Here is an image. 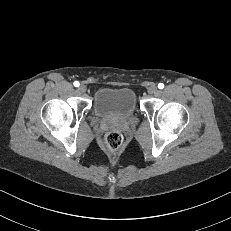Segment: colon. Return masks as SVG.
Returning a JSON list of instances; mask_svg holds the SVG:
<instances>
[{"mask_svg":"<svg viewBox=\"0 0 231 231\" xmlns=\"http://www.w3.org/2000/svg\"><path fill=\"white\" fill-rule=\"evenodd\" d=\"M123 143V136L118 131H110L106 134L104 139V145L109 151L118 150Z\"/></svg>","mask_w":231,"mask_h":231,"instance_id":"5ec220e1","label":"colon"}]
</instances>
